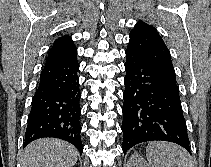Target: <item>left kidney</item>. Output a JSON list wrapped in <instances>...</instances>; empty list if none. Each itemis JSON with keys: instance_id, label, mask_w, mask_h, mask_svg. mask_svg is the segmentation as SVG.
I'll return each instance as SVG.
<instances>
[{"instance_id": "5707ae66", "label": "left kidney", "mask_w": 211, "mask_h": 167, "mask_svg": "<svg viewBox=\"0 0 211 167\" xmlns=\"http://www.w3.org/2000/svg\"><path fill=\"white\" fill-rule=\"evenodd\" d=\"M127 167H149L145 160L137 153L131 155L127 162Z\"/></svg>"}]
</instances>
